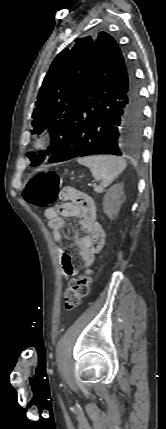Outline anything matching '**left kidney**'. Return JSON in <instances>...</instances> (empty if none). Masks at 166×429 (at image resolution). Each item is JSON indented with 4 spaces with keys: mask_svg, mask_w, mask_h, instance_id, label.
<instances>
[{
    "mask_svg": "<svg viewBox=\"0 0 166 429\" xmlns=\"http://www.w3.org/2000/svg\"><path fill=\"white\" fill-rule=\"evenodd\" d=\"M125 199L122 184H115L107 190L103 198V210L110 220H114L117 217Z\"/></svg>",
    "mask_w": 166,
    "mask_h": 429,
    "instance_id": "obj_1",
    "label": "left kidney"
}]
</instances>
